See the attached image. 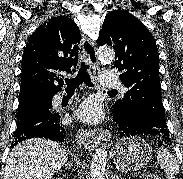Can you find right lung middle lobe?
<instances>
[{
    "mask_svg": "<svg viewBox=\"0 0 183 179\" xmlns=\"http://www.w3.org/2000/svg\"><path fill=\"white\" fill-rule=\"evenodd\" d=\"M47 100L46 94H31L19 97L17 120L25 116L29 108L36 104L44 103Z\"/></svg>",
    "mask_w": 183,
    "mask_h": 179,
    "instance_id": "right-lung-middle-lobe-1",
    "label": "right lung middle lobe"
}]
</instances>
